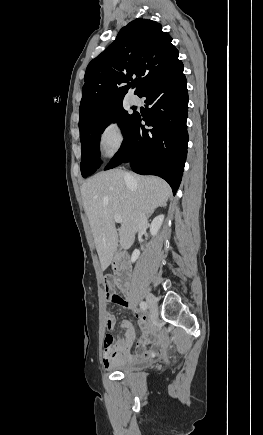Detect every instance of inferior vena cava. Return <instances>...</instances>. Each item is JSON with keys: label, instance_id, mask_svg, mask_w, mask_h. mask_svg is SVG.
<instances>
[{"label": "inferior vena cava", "instance_id": "602c4592", "mask_svg": "<svg viewBox=\"0 0 263 435\" xmlns=\"http://www.w3.org/2000/svg\"><path fill=\"white\" fill-rule=\"evenodd\" d=\"M124 179L126 182H130L132 180V176L129 173H125ZM147 216L143 211L136 212L135 222H134V232L136 233L139 228L146 222Z\"/></svg>", "mask_w": 263, "mask_h": 435}]
</instances>
